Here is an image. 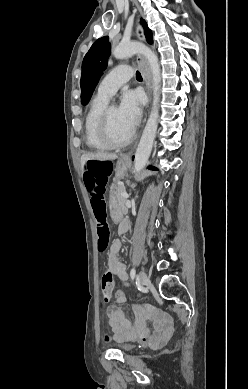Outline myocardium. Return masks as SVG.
I'll list each match as a JSON object with an SVG mask.
<instances>
[{
  "instance_id": "obj_1",
  "label": "myocardium",
  "mask_w": 248,
  "mask_h": 389,
  "mask_svg": "<svg viewBox=\"0 0 248 389\" xmlns=\"http://www.w3.org/2000/svg\"><path fill=\"white\" fill-rule=\"evenodd\" d=\"M109 108L110 106H106L103 110L99 126V136L111 148L124 147L133 140L135 132L132 130L126 138L121 140L115 138L111 132Z\"/></svg>"
}]
</instances>
